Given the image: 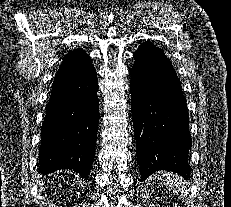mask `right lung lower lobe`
Listing matches in <instances>:
<instances>
[{
    "instance_id": "1",
    "label": "right lung lower lobe",
    "mask_w": 231,
    "mask_h": 207,
    "mask_svg": "<svg viewBox=\"0 0 231 207\" xmlns=\"http://www.w3.org/2000/svg\"><path fill=\"white\" fill-rule=\"evenodd\" d=\"M98 88L90 57L72 68L59 67L41 127L40 173L89 174L99 123Z\"/></svg>"
}]
</instances>
